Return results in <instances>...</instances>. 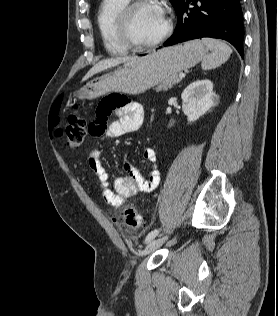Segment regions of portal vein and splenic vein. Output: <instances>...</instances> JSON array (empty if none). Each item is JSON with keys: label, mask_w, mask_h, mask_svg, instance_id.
Masks as SVG:
<instances>
[{"label": "portal vein and splenic vein", "mask_w": 278, "mask_h": 316, "mask_svg": "<svg viewBox=\"0 0 278 316\" xmlns=\"http://www.w3.org/2000/svg\"><path fill=\"white\" fill-rule=\"evenodd\" d=\"M179 77H180V79L185 78V73H181V74H179Z\"/></svg>", "instance_id": "obj_1"}]
</instances>
